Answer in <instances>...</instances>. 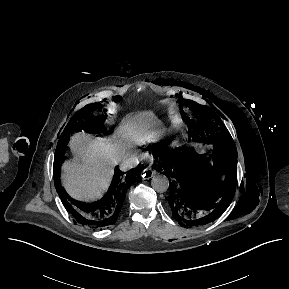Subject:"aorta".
Listing matches in <instances>:
<instances>
[{
  "instance_id": "1",
  "label": "aorta",
  "mask_w": 289,
  "mask_h": 289,
  "mask_svg": "<svg viewBox=\"0 0 289 289\" xmlns=\"http://www.w3.org/2000/svg\"><path fill=\"white\" fill-rule=\"evenodd\" d=\"M151 186L155 191L163 193L169 188V180L165 175H155L151 180Z\"/></svg>"
}]
</instances>
